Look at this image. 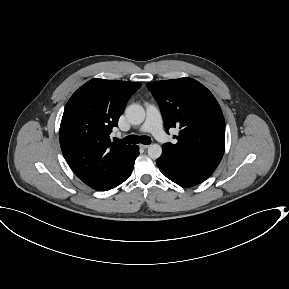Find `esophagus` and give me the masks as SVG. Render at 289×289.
I'll list each match as a JSON object with an SVG mask.
<instances>
[{
	"label": "esophagus",
	"instance_id": "1",
	"mask_svg": "<svg viewBox=\"0 0 289 289\" xmlns=\"http://www.w3.org/2000/svg\"><path fill=\"white\" fill-rule=\"evenodd\" d=\"M149 146L150 145H147V144H140V147L143 148V149H147V148H149Z\"/></svg>",
	"mask_w": 289,
	"mask_h": 289
}]
</instances>
